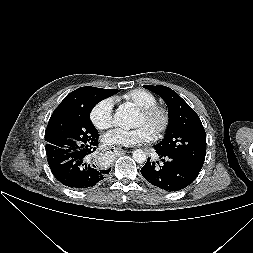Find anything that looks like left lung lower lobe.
Here are the masks:
<instances>
[{
    "instance_id": "1",
    "label": "left lung lower lobe",
    "mask_w": 253,
    "mask_h": 253,
    "mask_svg": "<svg viewBox=\"0 0 253 253\" xmlns=\"http://www.w3.org/2000/svg\"><path fill=\"white\" fill-rule=\"evenodd\" d=\"M156 153L161 164L159 161L152 162L149 158L141 168L142 176L155 187L168 192L179 191L189 186L200 172L172 155L158 149Z\"/></svg>"
}]
</instances>
